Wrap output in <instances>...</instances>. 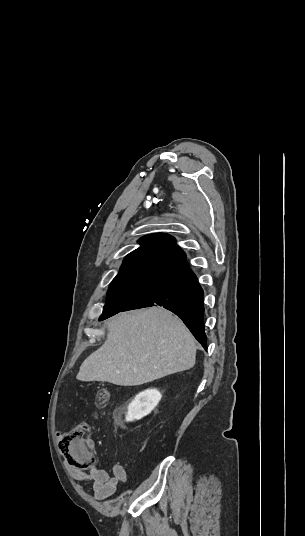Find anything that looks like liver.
I'll list each match as a JSON object with an SVG mask.
<instances>
[{
  "instance_id": "1",
  "label": "liver",
  "mask_w": 305,
  "mask_h": 536,
  "mask_svg": "<svg viewBox=\"0 0 305 536\" xmlns=\"http://www.w3.org/2000/svg\"><path fill=\"white\" fill-rule=\"evenodd\" d=\"M194 338L164 308L124 312L108 322L107 338L80 366V382L140 386L195 366Z\"/></svg>"
}]
</instances>
